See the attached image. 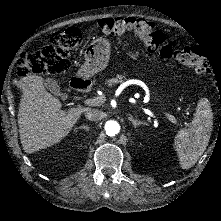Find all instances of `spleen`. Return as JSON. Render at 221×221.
Wrapping results in <instances>:
<instances>
[{
  "instance_id": "obj_1",
  "label": "spleen",
  "mask_w": 221,
  "mask_h": 221,
  "mask_svg": "<svg viewBox=\"0 0 221 221\" xmlns=\"http://www.w3.org/2000/svg\"><path fill=\"white\" fill-rule=\"evenodd\" d=\"M213 127V113L208 100H201L189 128L181 129L174 140L182 169L196 164L208 146Z\"/></svg>"
}]
</instances>
